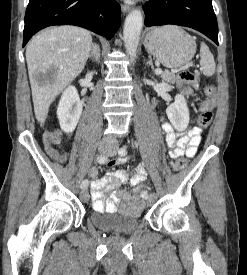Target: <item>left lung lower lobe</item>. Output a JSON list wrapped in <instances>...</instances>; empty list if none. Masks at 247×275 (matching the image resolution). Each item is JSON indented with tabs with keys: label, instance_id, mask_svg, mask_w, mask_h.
Instances as JSON below:
<instances>
[{
	"label": "left lung lower lobe",
	"instance_id": "left-lung-lower-lobe-1",
	"mask_svg": "<svg viewBox=\"0 0 247 275\" xmlns=\"http://www.w3.org/2000/svg\"><path fill=\"white\" fill-rule=\"evenodd\" d=\"M145 25L174 24L193 28L218 45V25L212 0H154L143 6Z\"/></svg>",
	"mask_w": 247,
	"mask_h": 275
}]
</instances>
